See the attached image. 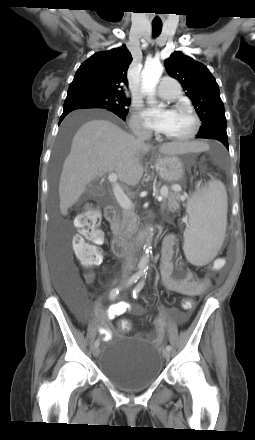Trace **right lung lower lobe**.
<instances>
[{
	"mask_svg": "<svg viewBox=\"0 0 255 440\" xmlns=\"http://www.w3.org/2000/svg\"><path fill=\"white\" fill-rule=\"evenodd\" d=\"M75 109H77V108H65L64 109V111H63V114L61 115V117H60V121H59V123L64 119V117L68 114V113H70L71 111H73V110H75ZM120 117V116H119ZM120 118H122V117H120ZM123 120H125V118H122Z\"/></svg>",
	"mask_w": 255,
	"mask_h": 440,
	"instance_id": "obj_1",
	"label": "right lung lower lobe"
}]
</instances>
